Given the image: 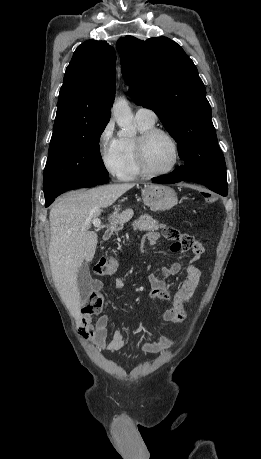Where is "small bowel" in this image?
<instances>
[{"mask_svg":"<svg viewBox=\"0 0 261 459\" xmlns=\"http://www.w3.org/2000/svg\"><path fill=\"white\" fill-rule=\"evenodd\" d=\"M172 231L173 235L167 238L171 241L170 250L173 253L190 250L193 254L191 261L186 267V276L175 292L165 283V277L177 275L182 269L181 263L175 261L167 266L161 267L157 273L152 274L150 276V285L152 298L168 305L162 313V319L166 322L179 324L187 317V303L200 281L201 272L196 266V262L203 254V246L198 240L190 235L180 233L175 229H172ZM159 237L160 235L157 232H150L148 234V241L151 245H154ZM114 286L116 289L123 288L125 286V280L123 278H117ZM93 287L95 291L99 293L102 288V283L96 280L93 283ZM172 295H174L173 298ZM107 326L108 316L105 314L101 315L95 322L90 318H84L79 328V335L86 340H90L98 349L108 352L120 350L128 343H135L141 350L150 353L166 351L173 345V340L168 336H163L156 340H127L120 330H115L112 333L110 341L107 342Z\"/></svg>","mask_w":261,"mask_h":459,"instance_id":"small-bowel-1","label":"small bowel"}]
</instances>
